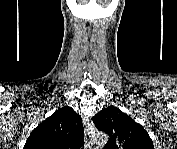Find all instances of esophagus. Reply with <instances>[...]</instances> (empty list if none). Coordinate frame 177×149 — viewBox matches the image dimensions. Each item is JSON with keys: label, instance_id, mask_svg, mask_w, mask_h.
<instances>
[{"label": "esophagus", "instance_id": "obj_1", "mask_svg": "<svg viewBox=\"0 0 177 149\" xmlns=\"http://www.w3.org/2000/svg\"><path fill=\"white\" fill-rule=\"evenodd\" d=\"M84 133L87 146L91 149L93 146L92 132L94 130V125L88 119L83 120Z\"/></svg>", "mask_w": 177, "mask_h": 149}]
</instances>
